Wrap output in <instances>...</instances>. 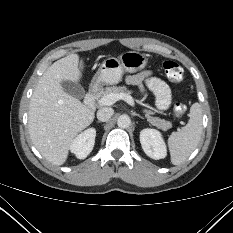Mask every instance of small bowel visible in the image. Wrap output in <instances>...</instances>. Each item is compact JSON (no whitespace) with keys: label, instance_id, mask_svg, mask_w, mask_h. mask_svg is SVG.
<instances>
[{"label":"small bowel","instance_id":"small-bowel-1","mask_svg":"<svg viewBox=\"0 0 233 233\" xmlns=\"http://www.w3.org/2000/svg\"><path fill=\"white\" fill-rule=\"evenodd\" d=\"M126 81L128 84L138 86L142 97H146L147 90L153 92L159 110L165 111L169 108L172 101V92L168 84L162 79L152 76L149 71H144L129 75Z\"/></svg>","mask_w":233,"mask_h":233}]
</instances>
